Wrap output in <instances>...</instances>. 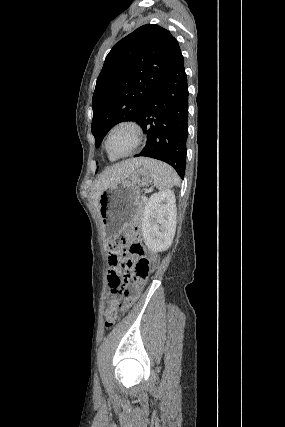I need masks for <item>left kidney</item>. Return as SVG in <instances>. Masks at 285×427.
<instances>
[{"mask_svg":"<svg viewBox=\"0 0 285 427\" xmlns=\"http://www.w3.org/2000/svg\"><path fill=\"white\" fill-rule=\"evenodd\" d=\"M176 199L174 192L165 190L153 194L146 203L142 233L145 245L152 252L167 250L176 230Z\"/></svg>","mask_w":285,"mask_h":427,"instance_id":"left-kidney-1","label":"left kidney"}]
</instances>
